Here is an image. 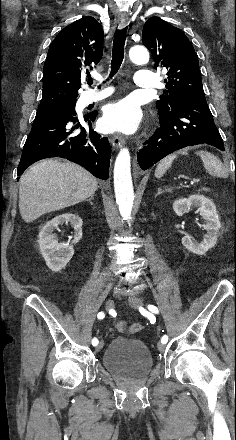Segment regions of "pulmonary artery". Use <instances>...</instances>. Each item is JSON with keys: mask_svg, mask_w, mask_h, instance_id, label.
Listing matches in <instances>:
<instances>
[{"mask_svg": "<svg viewBox=\"0 0 236 440\" xmlns=\"http://www.w3.org/2000/svg\"><path fill=\"white\" fill-rule=\"evenodd\" d=\"M135 85L138 88H152L156 86V76L149 70L139 69L134 77ZM110 94L108 89L100 92L86 91L84 93V104H89L104 99Z\"/></svg>", "mask_w": 236, "mask_h": 440, "instance_id": "1", "label": "pulmonary artery"}]
</instances>
